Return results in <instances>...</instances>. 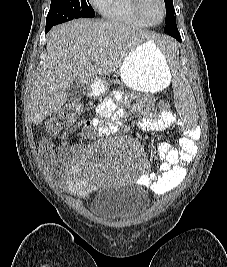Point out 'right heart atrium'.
<instances>
[{
    "instance_id": "obj_1",
    "label": "right heart atrium",
    "mask_w": 227,
    "mask_h": 267,
    "mask_svg": "<svg viewBox=\"0 0 227 267\" xmlns=\"http://www.w3.org/2000/svg\"><path fill=\"white\" fill-rule=\"evenodd\" d=\"M96 7L100 4L101 0H90Z\"/></svg>"
}]
</instances>
